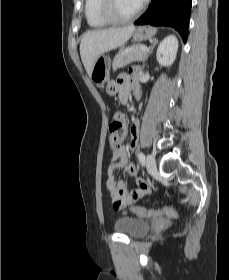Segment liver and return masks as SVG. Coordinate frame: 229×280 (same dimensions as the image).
Returning a JSON list of instances; mask_svg holds the SVG:
<instances>
[{
	"label": "liver",
	"mask_w": 229,
	"mask_h": 280,
	"mask_svg": "<svg viewBox=\"0 0 229 280\" xmlns=\"http://www.w3.org/2000/svg\"><path fill=\"white\" fill-rule=\"evenodd\" d=\"M135 31V27L92 30L83 34L80 43V56L84 68L90 75L93 64L104 53L124 45Z\"/></svg>",
	"instance_id": "liver-1"
}]
</instances>
